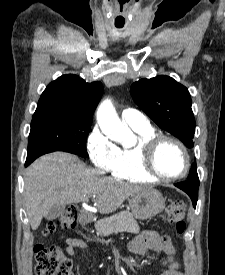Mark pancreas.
<instances>
[{
	"mask_svg": "<svg viewBox=\"0 0 225 275\" xmlns=\"http://www.w3.org/2000/svg\"><path fill=\"white\" fill-rule=\"evenodd\" d=\"M97 235L108 236L112 233L129 232L137 234L140 231L137 221L130 212H119L109 218L95 223Z\"/></svg>",
	"mask_w": 225,
	"mask_h": 275,
	"instance_id": "pancreas-1",
	"label": "pancreas"
}]
</instances>
